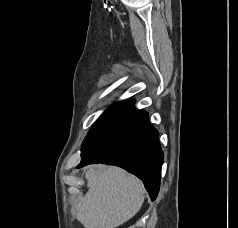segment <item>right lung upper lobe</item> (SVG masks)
<instances>
[{"mask_svg":"<svg viewBox=\"0 0 238 228\" xmlns=\"http://www.w3.org/2000/svg\"><path fill=\"white\" fill-rule=\"evenodd\" d=\"M134 101L118 102L110 106L103 114L104 117L116 116L121 117L134 110Z\"/></svg>","mask_w":238,"mask_h":228,"instance_id":"right-lung-upper-lobe-1","label":"right lung upper lobe"}]
</instances>
